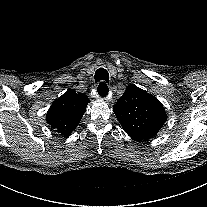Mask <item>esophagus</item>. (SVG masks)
Returning <instances> with one entry per match:
<instances>
[{
  "label": "esophagus",
  "mask_w": 207,
  "mask_h": 207,
  "mask_svg": "<svg viewBox=\"0 0 207 207\" xmlns=\"http://www.w3.org/2000/svg\"><path fill=\"white\" fill-rule=\"evenodd\" d=\"M94 96L98 98L100 102H107L109 100L108 87L106 85H99L94 89Z\"/></svg>",
  "instance_id": "1"
}]
</instances>
